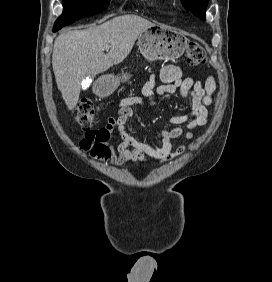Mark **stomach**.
Masks as SVG:
<instances>
[{
	"mask_svg": "<svg viewBox=\"0 0 272 282\" xmlns=\"http://www.w3.org/2000/svg\"><path fill=\"white\" fill-rule=\"evenodd\" d=\"M138 47L145 59L148 61L173 60L179 58L185 51L187 39L174 29L153 24L138 37ZM128 73H122L121 77L106 75L103 77L102 92L112 93L120 81H127Z\"/></svg>",
	"mask_w": 272,
	"mask_h": 282,
	"instance_id": "0dacf381",
	"label": "stomach"
}]
</instances>
